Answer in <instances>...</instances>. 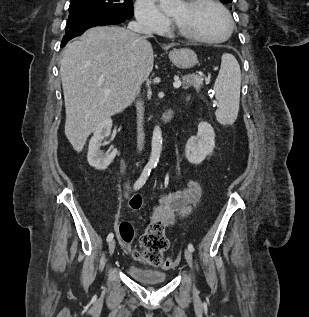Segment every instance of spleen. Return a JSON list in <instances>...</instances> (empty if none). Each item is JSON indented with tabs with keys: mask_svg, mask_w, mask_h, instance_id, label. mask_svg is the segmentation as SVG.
Listing matches in <instances>:
<instances>
[{
	"mask_svg": "<svg viewBox=\"0 0 309 317\" xmlns=\"http://www.w3.org/2000/svg\"><path fill=\"white\" fill-rule=\"evenodd\" d=\"M241 70L236 58L224 53L214 84L218 108L215 112L219 123L233 124L238 116L240 103Z\"/></svg>",
	"mask_w": 309,
	"mask_h": 317,
	"instance_id": "1",
	"label": "spleen"
}]
</instances>
